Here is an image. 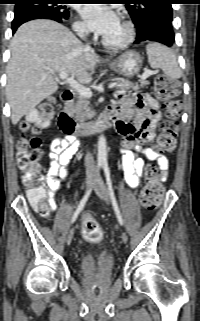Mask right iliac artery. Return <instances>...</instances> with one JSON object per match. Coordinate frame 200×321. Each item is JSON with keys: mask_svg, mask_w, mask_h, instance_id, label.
I'll list each match as a JSON object with an SVG mask.
<instances>
[{"mask_svg": "<svg viewBox=\"0 0 200 321\" xmlns=\"http://www.w3.org/2000/svg\"><path fill=\"white\" fill-rule=\"evenodd\" d=\"M101 166H102V164L99 163L98 166H97L98 167V171L100 170ZM97 175H99V172H98ZM92 189H93V185H92L91 188H89V190L86 192L84 197L81 199L76 211L74 212V214L72 216L71 223H74L76 221L79 213L83 210V208H84V206H85V204H86V202H87V200H88V198H89V196H90V194L92 192Z\"/></svg>", "mask_w": 200, "mask_h": 321, "instance_id": "obj_1", "label": "right iliac artery"}]
</instances>
